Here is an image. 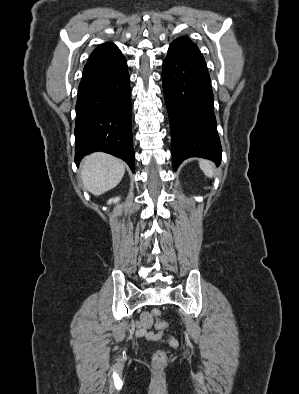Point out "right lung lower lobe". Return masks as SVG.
<instances>
[{"mask_svg":"<svg viewBox=\"0 0 299 394\" xmlns=\"http://www.w3.org/2000/svg\"><path fill=\"white\" fill-rule=\"evenodd\" d=\"M123 55L87 62L78 88L75 162L103 151L123 159L134 172L131 91Z\"/></svg>","mask_w":299,"mask_h":394,"instance_id":"obj_1","label":"right lung lower lobe"}]
</instances>
